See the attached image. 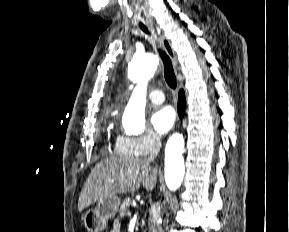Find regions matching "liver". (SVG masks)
Returning a JSON list of instances; mask_svg holds the SVG:
<instances>
[{"instance_id": "6515ba94", "label": "liver", "mask_w": 289, "mask_h": 232, "mask_svg": "<svg viewBox=\"0 0 289 232\" xmlns=\"http://www.w3.org/2000/svg\"><path fill=\"white\" fill-rule=\"evenodd\" d=\"M108 180H113L109 182ZM157 169L138 157H110L98 163L89 174L79 196L78 210L82 211L102 199L134 192L141 185L153 190Z\"/></svg>"}]
</instances>
